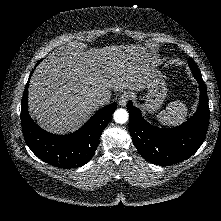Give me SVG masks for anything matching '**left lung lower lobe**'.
Segmentation results:
<instances>
[{
	"instance_id": "0a47b994",
	"label": "left lung lower lobe",
	"mask_w": 221,
	"mask_h": 221,
	"mask_svg": "<svg viewBox=\"0 0 221 221\" xmlns=\"http://www.w3.org/2000/svg\"><path fill=\"white\" fill-rule=\"evenodd\" d=\"M200 86L197 112L174 128H159L148 123L129 101V131L141 156L156 165L169 166L192 156L203 143L209 124V106L201 74H193Z\"/></svg>"
}]
</instances>
